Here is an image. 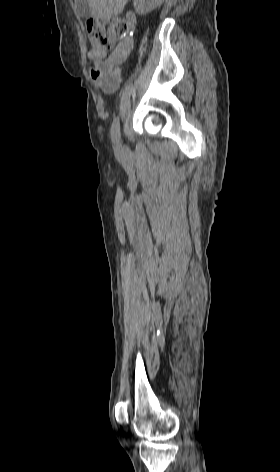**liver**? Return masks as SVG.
I'll use <instances>...</instances> for the list:
<instances>
[{
  "mask_svg": "<svg viewBox=\"0 0 280 472\" xmlns=\"http://www.w3.org/2000/svg\"><path fill=\"white\" fill-rule=\"evenodd\" d=\"M129 0H88L91 15L97 20L108 21L120 14Z\"/></svg>",
  "mask_w": 280,
  "mask_h": 472,
  "instance_id": "liver-1",
  "label": "liver"
}]
</instances>
